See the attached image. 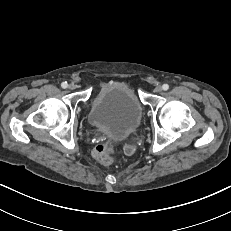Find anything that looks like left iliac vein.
Here are the masks:
<instances>
[{"label":"left iliac vein","mask_w":231,"mask_h":231,"mask_svg":"<svg viewBox=\"0 0 231 231\" xmlns=\"http://www.w3.org/2000/svg\"><path fill=\"white\" fill-rule=\"evenodd\" d=\"M163 88L160 86V85H157L155 88H154V91L157 92V93H160L162 92Z\"/></svg>","instance_id":"left-iliac-vein-1"}]
</instances>
